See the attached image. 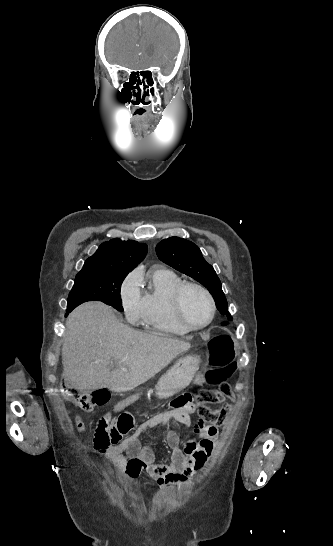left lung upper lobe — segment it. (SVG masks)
I'll return each mask as SVG.
<instances>
[{"label":"left lung upper lobe","mask_w":333,"mask_h":546,"mask_svg":"<svg viewBox=\"0 0 333 546\" xmlns=\"http://www.w3.org/2000/svg\"><path fill=\"white\" fill-rule=\"evenodd\" d=\"M156 253L161 261L205 286L213 296L220 313L232 320L220 279L194 243L183 238L170 237L157 244Z\"/></svg>","instance_id":"5c2ea615"}]
</instances>
